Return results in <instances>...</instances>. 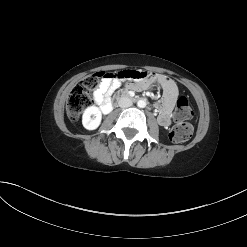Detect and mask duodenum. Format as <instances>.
Returning a JSON list of instances; mask_svg holds the SVG:
<instances>
[{
	"label": "duodenum",
	"instance_id": "duodenum-1",
	"mask_svg": "<svg viewBox=\"0 0 247 247\" xmlns=\"http://www.w3.org/2000/svg\"><path fill=\"white\" fill-rule=\"evenodd\" d=\"M125 97H127V91H123V90L117 91L116 94L113 95V106H118V99L119 98H125ZM140 98H143V97H140ZM140 98H138V99H140ZM136 99H134V100H136Z\"/></svg>",
	"mask_w": 247,
	"mask_h": 247
}]
</instances>
